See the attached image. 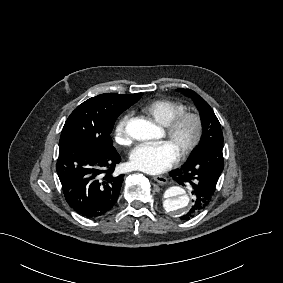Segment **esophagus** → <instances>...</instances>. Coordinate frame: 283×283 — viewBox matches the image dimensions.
I'll list each match as a JSON object with an SVG mask.
<instances>
[{"mask_svg":"<svg viewBox=\"0 0 283 283\" xmlns=\"http://www.w3.org/2000/svg\"><path fill=\"white\" fill-rule=\"evenodd\" d=\"M153 179L161 185L168 183V178L161 175L153 176Z\"/></svg>","mask_w":283,"mask_h":283,"instance_id":"1","label":"esophagus"}]
</instances>
